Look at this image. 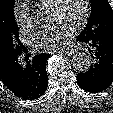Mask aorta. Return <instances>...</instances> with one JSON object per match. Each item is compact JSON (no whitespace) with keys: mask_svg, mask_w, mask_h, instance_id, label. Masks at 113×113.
I'll list each match as a JSON object with an SVG mask.
<instances>
[{"mask_svg":"<svg viewBox=\"0 0 113 113\" xmlns=\"http://www.w3.org/2000/svg\"><path fill=\"white\" fill-rule=\"evenodd\" d=\"M36 17L40 21H46L48 19L47 11L37 10ZM93 63V59L90 55L78 52L72 57V64L75 70L79 72H87Z\"/></svg>","mask_w":113,"mask_h":113,"instance_id":"762f6f07","label":"aorta"}]
</instances>
